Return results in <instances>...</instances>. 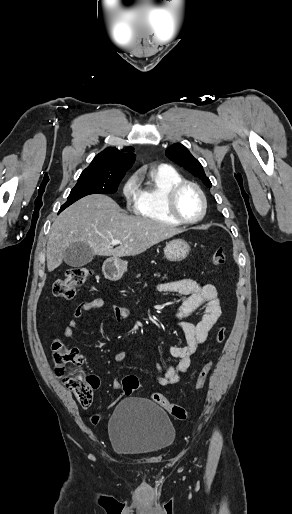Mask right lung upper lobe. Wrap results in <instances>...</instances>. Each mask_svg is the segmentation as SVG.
Here are the masks:
<instances>
[{
	"mask_svg": "<svg viewBox=\"0 0 292 514\" xmlns=\"http://www.w3.org/2000/svg\"><path fill=\"white\" fill-rule=\"evenodd\" d=\"M125 150L132 151V147ZM124 151V150H122ZM135 161V155L122 153L110 147L95 156L92 163L81 173L82 176L123 178Z\"/></svg>",
	"mask_w": 292,
	"mask_h": 514,
	"instance_id": "obj_1",
	"label": "right lung upper lobe"
}]
</instances>
